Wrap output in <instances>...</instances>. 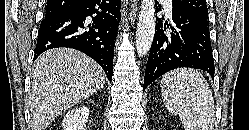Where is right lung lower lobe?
I'll use <instances>...</instances> for the list:
<instances>
[{
	"label": "right lung lower lobe",
	"mask_w": 249,
	"mask_h": 130,
	"mask_svg": "<svg viewBox=\"0 0 249 130\" xmlns=\"http://www.w3.org/2000/svg\"><path fill=\"white\" fill-rule=\"evenodd\" d=\"M120 2L82 0L71 10L45 17L39 28L34 59L51 48L77 49L97 61L111 82ZM88 16H92V22Z\"/></svg>",
	"instance_id": "right-lung-lower-lobe-1"
}]
</instances>
